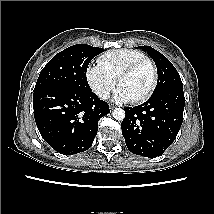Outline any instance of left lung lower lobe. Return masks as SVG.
<instances>
[{"label":"left lung lower lobe","instance_id":"1","mask_svg":"<svg viewBox=\"0 0 214 214\" xmlns=\"http://www.w3.org/2000/svg\"><path fill=\"white\" fill-rule=\"evenodd\" d=\"M184 105L183 88H170L142 105L126 107L121 128L129 151L149 158L163 154L179 132Z\"/></svg>","mask_w":214,"mask_h":214}]
</instances>
